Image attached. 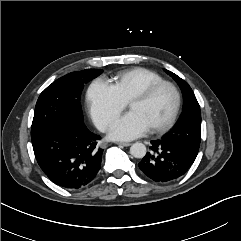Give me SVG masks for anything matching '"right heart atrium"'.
<instances>
[{"instance_id": "right-heart-atrium-1", "label": "right heart atrium", "mask_w": 241, "mask_h": 241, "mask_svg": "<svg viewBox=\"0 0 241 241\" xmlns=\"http://www.w3.org/2000/svg\"><path fill=\"white\" fill-rule=\"evenodd\" d=\"M87 102L94 123L102 131L106 130L126 107V102L114 86L103 79H95L89 85Z\"/></svg>"}]
</instances>
